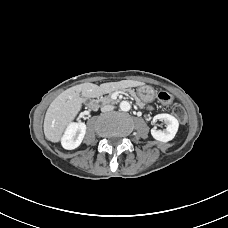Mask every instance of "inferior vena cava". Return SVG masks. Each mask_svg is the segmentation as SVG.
Masks as SVG:
<instances>
[{
    "mask_svg": "<svg viewBox=\"0 0 228 228\" xmlns=\"http://www.w3.org/2000/svg\"><path fill=\"white\" fill-rule=\"evenodd\" d=\"M113 109H114L113 105H104L101 107L102 112H109V111H112Z\"/></svg>",
    "mask_w": 228,
    "mask_h": 228,
    "instance_id": "obj_1",
    "label": "inferior vena cava"
}]
</instances>
